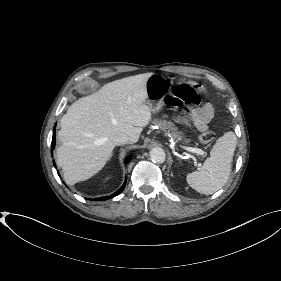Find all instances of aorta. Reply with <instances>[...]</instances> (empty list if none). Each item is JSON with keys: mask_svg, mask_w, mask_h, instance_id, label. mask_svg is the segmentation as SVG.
Returning <instances> with one entry per match:
<instances>
[{"mask_svg": "<svg viewBox=\"0 0 281 281\" xmlns=\"http://www.w3.org/2000/svg\"><path fill=\"white\" fill-rule=\"evenodd\" d=\"M149 154L151 160L156 163H163L166 159L165 151L159 147L151 149Z\"/></svg>", "mask_w": 281, "mask_h": 281, "instance_id": "762f6f07", "label": "aorta"}]
</instances>
